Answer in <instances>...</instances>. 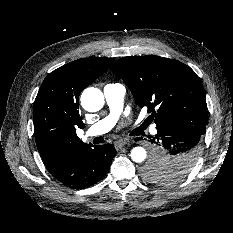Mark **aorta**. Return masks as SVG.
<instances>
[{"label": "aorta", "mask_w": 233, "mask_h": 233, "mask_svg": "<svg viewBox=\"0 0 233 233\" xmlns=\"http://www.w3.org/2000/svg\"><path fill=\"white\" fill-rule=\"evenodd\" d=\"M81 104L86 111H99L104 105L103 93L98 88H87L81 95ZM146 156V150L143 147H135L131 151V158L134 162H143Z\"/></svg>", "instance_id": "762f6f07"}]
</instances>
